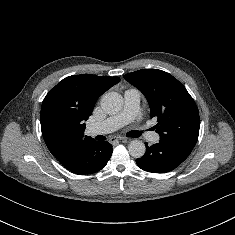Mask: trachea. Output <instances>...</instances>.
<instances>
[{
	"label": "trachea",
	"instance_id": "1",
	"mask_svg": "<svg viewBox=\"0 0 235 235\" xmlns=\"http://www.w3.org/2000/svg\"><path fill=\"white\" fill-rule=\"evenodd\" d=\"M141 133L139 131H130L127 136L128 137H139Z\"/></svg>",
	"mask_w": 235,
	"mask_h": 235
}]
</instances>
